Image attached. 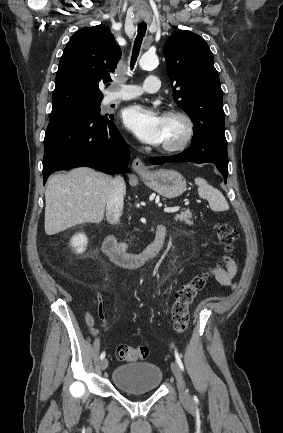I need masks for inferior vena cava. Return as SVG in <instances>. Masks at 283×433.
I'll return each instance as SVG.
<instances>
[{"label": "inferior vena cava", "mask_w": 283, "mask_h": 433, "mask_svg": "<svg viewBox=\"0 0 283 433\" xmlns=\"http://www.w3.org/2000/svg\"><path fill=\"white\" fill-rule=\"evenodd\" d=\"M125 182L122 176L113 178L110 194L107 198L106 217L110 223H118L123 210V192Z\"/></svg>", "instance_id": "602c4592"}]
</instances>
